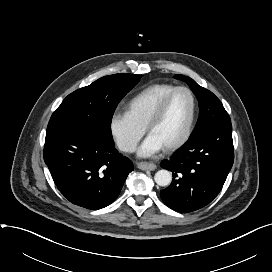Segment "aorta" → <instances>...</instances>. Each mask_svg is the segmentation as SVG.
Listing matches in <instances>:
<instances>
[{"label": "aorta", "mask_w": 272, "mask_h": 272, "mask_svg": "<svg viewBox=\"0 0 272 272\" xmlns=\"http://www.w3.org/2000/svg\"><path fill=\"white\" fill-rule=\"evenodd\" d=\"M154 180L159 186H167L172 181V175L168 170L162 169L156 172Z\"/></svg>", "instance_id": "aorta-1"}]
</instances>
